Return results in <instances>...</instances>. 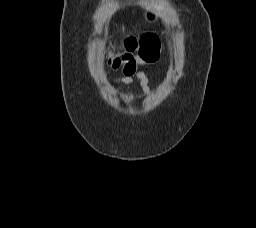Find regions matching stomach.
<instances>
[{
	"mask_svg": "<svg viewBox=\"0 0 256 228\" xmlns=\"http://www.w3.org/2000/svg\"><path fill=\"white\" fill-rule=\"evenodd\" d=\"M144 18L147 22H155L157 20V16L154 10H148L144 13Z\"/></svg>",
	"mask_w": 256,
	"mask_h": 228,
	"instance_id": "stomach-1",
	"label": "stomach"
}]
</instances>
